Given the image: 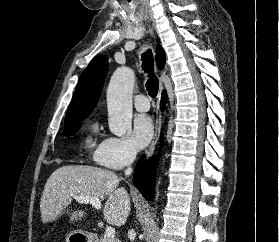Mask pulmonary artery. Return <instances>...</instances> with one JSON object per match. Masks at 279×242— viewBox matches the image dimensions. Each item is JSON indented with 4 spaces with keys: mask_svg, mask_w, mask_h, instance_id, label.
<instances>
[{
    "mask_svg": "<svg viewBox=\"0 0 279 242\" xmlns=\"http://www.w3.org/2000/svg\"><path fill=\"white\" fill-rule=\"evenodd\" d=\"M134 106L138 111L145 112L149 110L150 103L148 98L145 95L139 94L136 95L134 98Z\"/></svg>",
    "mask_w": 279,
    "mask_h": 242,
    "instance_id": "1",
    "label": "pulmonary artery"
}]
</instances>
